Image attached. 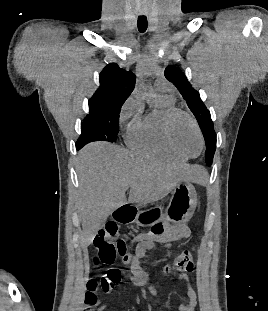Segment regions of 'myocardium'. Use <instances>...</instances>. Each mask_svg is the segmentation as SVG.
<instances>
[{
	"label": "myocardium",
	"mask_w": 268,
	"mask_h": 311,
	"mask_svg": "<svg viewBox=\"0 0 268 311\" xmlns=\"http://www.w3.org/2000/svg\"><path fill=\"white\" fill-rule=\"evenodd\" d=\"M179 116H185L186 118H188L190 120V122L192 123L193 127L195 128L197 134H198V137L200 140V149L196 155H190V154L186 153L177 144V142L175 140L174 123ZM163 126H164V134H165V137H166L168 144L178 154L182 155L185 158H194V157H197L202 152V150L204 148V136H203V133L200 129L198 122L196 121V119L194 118V116L192 114H190L189 112H187L183 109H179V108L170 109L165 115Z\"/></svg>",
	"instance_id": "f54148a6"
}]
</instances>
